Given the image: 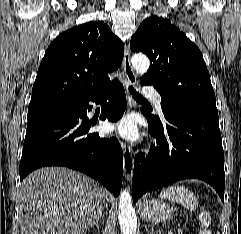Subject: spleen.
Returning a JSON list of instances; mask_svg holds the SVG:
<instances>
[{
    "label": "spleen",
    "mask_w": 241,
    "mask_h": 234,
    "mask_svg": "<svg viewBox=\"0 0 241 234\" xmlns=\"http://www.w3.org/2000/svg\"><path fill=\"white\" fill-rule=\"evenodd\" d=\"M159 197L179 203L190 210H195L198 205L197 198L194 193L179 185H173L163 189L160 192ZM199 222L201 225L199 234H211V231L208 229L211 224V217L207 211H202L200 213Z\"/></svg>",
    "instance_id": "obj_1"
}]
</instances>
